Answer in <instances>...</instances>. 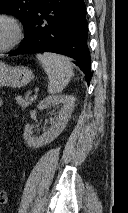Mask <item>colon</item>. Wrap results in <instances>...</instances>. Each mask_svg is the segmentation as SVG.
<instances>
[{
	"label": "colon",
	"mask_w": 128,
	"mask_h": 213,
	"mask_svg": "<svg viewBox=\"0 0 128 213\" xmlns=\"http://www.w3.org/2000/svg\"><path fill=\"white\" fill-rule=\"evenodd\" d=\"M1 181H2V178H1V174H0V205H3L6 203L7 201V193L6 191L2 188L1 186Z\"/></svg>",
	"instance_id": "obj_1"
}]
</instances>
